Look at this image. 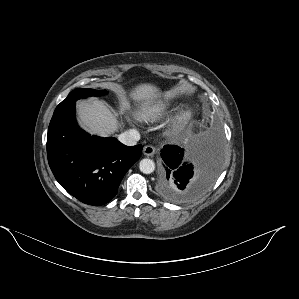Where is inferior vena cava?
Returning <instances> with one entry per match:
<instances>
[{
  "mask_svg": "<svg viewBox=\"0 0 299 299\" xmlns=\"http://www.w3.org/2000/svg\"><path fill=\"white\" fill-rule=\"evenodd\" d=\"M118 140L127 146H134L140 140V134L136 129H130L118 136Z\"/></svg>",
  "mask_w": 299,
  "mask_h": 299,
  "instance_id": "inferior-vena-cava-1",
  "label": "inferior vena cava"
}]
</instances>
